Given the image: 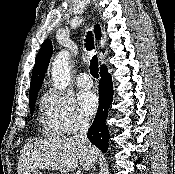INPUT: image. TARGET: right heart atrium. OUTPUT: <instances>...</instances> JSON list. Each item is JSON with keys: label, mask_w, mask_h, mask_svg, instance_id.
<instances>
[{"label": "right heart atrium", "mask_w": 175, "mask_h": 174, "mask_svg": "<svg viewBox=\"0 0 175 174\" xmlns=\"http://www.w3.org/2000/svg\"><path fill=\"white\" fill-rule=\"evenodd\" d=\"M48 130L55 135H68L88 126L87 117L81 112L74 98L52 89L43 97Z\"/></svg>", "instance_id": "right-heart-atrium-1"}]
</instances>
